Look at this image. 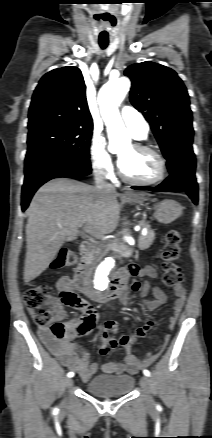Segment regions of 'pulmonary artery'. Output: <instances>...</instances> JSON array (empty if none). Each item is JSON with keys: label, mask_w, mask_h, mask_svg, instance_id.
I'll return each instance as SVG.
<instances>
[{"label": "pulmonary artery", "mask_w": 212, "mask_h": 438, "mask_svg": "<svg viewBox=\"0 0 212 438\" xmlns=\"http://www.w3.org/2000/svg\"><path fill=\"white\" fill-rule=\"evenodd\" d=\"M121 118L135 139H145L149 132V125L143 115L131 106L121 110Z\"/></svg>", "instance_id": "pulmonary-artery-1"}]
</instances>
